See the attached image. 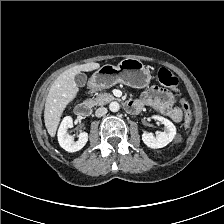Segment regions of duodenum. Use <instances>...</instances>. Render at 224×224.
I'll list each match as a JSON object with an SVG mask.
<instances>
[{
	"mask_svg": "<svg viewBox=\"0 0 224 224\" xmlns=\"http://www.w3.org/2000/svg\"><path fill=\"white\" fill-rule=\"evenodd\" d=\"M125 109L128 113L135 114L139 112L141 106L140 104L132 100L126 102ZM74 111L78 117H87L91 112V103L89 101L82 102L76 105Z\"/></svg>",
	"mask_w": 224,
	"mask_h": 224,
	"instance_id": "410a0bca",
	"label": "duodenum"
}]
</instances>
